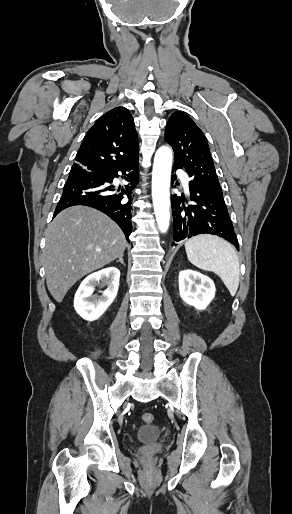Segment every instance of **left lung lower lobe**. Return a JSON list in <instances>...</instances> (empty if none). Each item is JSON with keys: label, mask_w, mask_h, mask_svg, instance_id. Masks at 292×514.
<instances>
[{"label": "left lung lower lobe", "mask_w": 292, "mask_h": 514, "mask_svg": "<svg viewBox=\"0 0 292 514\" xmlns=\"http://www.w3.org/2000/svg\"><path fill=\"white\" fill-rule=\"evenodd\" d=\"M179 167L174 165L173 169ZM190 205L184 196H171L173 240L175 242L198 234L222 237L239 250V243L230 220L223 193L210 191L189 182Z\"/></svg>", "instance_id": "1"}]
</instances>
